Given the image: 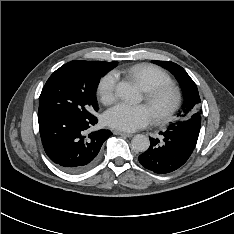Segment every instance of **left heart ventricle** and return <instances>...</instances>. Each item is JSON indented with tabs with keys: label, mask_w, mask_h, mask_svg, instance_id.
<instances>
[{
	"label": "left heart ventricle",
	"mask_w": 234,
	"mask_h": 234,
	"mask_svg": "<svg viewBox=\"0 0 234 234\" xmlns=\"http://www.w3.org/2000/svg\"><path fill=\"white\" fill-rule=\"evenodd\" d=\"M170 101H171L170 96L169 95H164L157 101V103L155 104L154 107H149V108H150L152 113L161 112V111L165 110L168 107Z\"/></svg>",
	"instance_id": "obj_1"
}]
</instances>
